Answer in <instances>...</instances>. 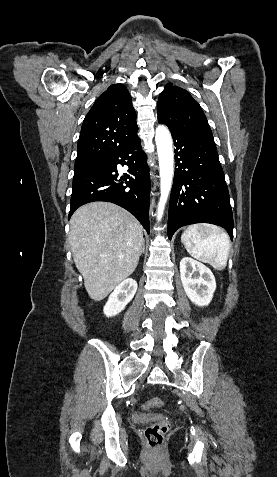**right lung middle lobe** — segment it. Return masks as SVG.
I'll use <instances>...</instances> for the list:
<instances>
[{"label": "right lung middle lobe", "mask_w": 277, "mask_h": 477, "mask_svg": "<svg viewBox=\"0 0 277 477\" xmlns=\"http://www.w3.org/2000/svg\"><path fill=\"white\" fill-rule=\"evenodd\" d=\"M84 168H79V169H74V174L80 172L81 170H83Z\"/></svg>", "instance_id": "1"}]
</instances>
